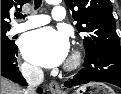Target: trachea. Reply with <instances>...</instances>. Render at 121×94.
<instances>
[{
    "instance_id": "obj_1",
    "label": "trachea",
    "mask_w": 121,
    "mask_h": 94,
    "mask_svg": "<svg viewBox=\"0 0 121 94\" xmlns=\"http://www.w3.org/2000/svg\"><path fill=\"white\" fill-rule=\"evenodd\" d=\"M42 0H34V4H35V9L39 8L41 6ZM17 19H22L25 17V15L18 13L15 15Z\"/></svg>"
}]
</instances>
